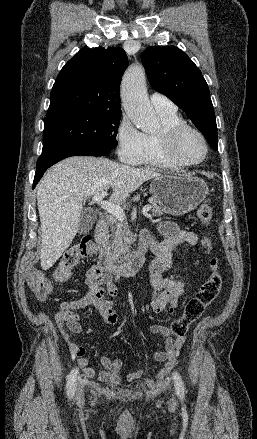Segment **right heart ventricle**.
<instances>
[{"mask_svg": "<svg viewBox=\"0 0 257 439\" xmlns=\"http://www.w3.org/2000/svg\"><path fill=\"white\" fill-rule=\"evenodd\" d=\"M161 128L157 132L143 134L144 149L137 161L136 165H146L163 169H175L166 158L160 145V136L162 132L172 126L184 123L180 115L175 112H157Z\"/></svg>", "mask_w": 257, "mask_h": 439, "instance_id": "right-heart-ventricle-1", "label": "right heart ventricle"}]
</instances>
